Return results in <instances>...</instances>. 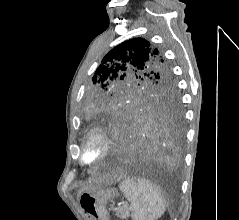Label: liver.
<instances>
[{
	"instance_id": "1",
	"label": "liver",
	"mask_w": 239,
	"mask_h": 220,
	"mask_svg": "<svg viewBox=\"0 0 239 220\" xmlns=\"http://www.w3.org/2000/svg\"><path fill=\"white\" fill-rule=\"evenodd\" d=\"M123 177H124L123 171H116L113 172L112 174H108L99 178L97 181H95V183L96 184L106 183L110 185L120 181ZM91 188H94L93 183H90L89 185L82 187L78 192V196L80 197L83 192L88 191Z\"/></svg>"
}]
</instances>
